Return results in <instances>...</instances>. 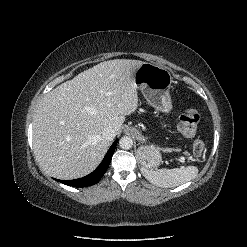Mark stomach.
Instances as JSON below:
<instances>
[{"instance_id": "obj_1", "label": "stomach", "mask_w": 247, "mask_h": 247, "mask_svg": "<svg viewBox=\"0 0 247 247\" xmlns=\"http://www.w3.org/2000/svg\"><path fill=\"white\" fill-rule=\"evenodd\" d=\"M170 72L153 63L143 62L134 72V83L148 104L158 111L169 113L172 109L171 97L169 90L172 84ZM126 131L133 133L142 144L137 156L141 164L147 169H155L162 162L160 150L152 145L147 144V139L136 128L126 127Z\"/></svg>"}]
</instances>
